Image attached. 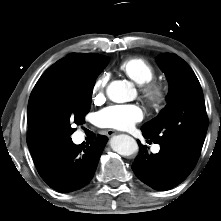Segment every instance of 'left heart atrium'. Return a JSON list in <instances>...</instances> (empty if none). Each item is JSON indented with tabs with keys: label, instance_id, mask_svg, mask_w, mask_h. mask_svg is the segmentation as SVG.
Returning a JSON list of instances; mask_svg holds the SVG:
<instances>
[{
	"label": "left heart atrium",
	"instance_id": "39dd6f15",
	"mask_svg": "<svg viewBox=\"0 0 221 221\" xmlns=\"http://www.w3.org/2000/svg\"><path fill=\"white\" fill-rule=\"evenodd\" d=\"M142 119L141 108L133 104L112 105L98 114L101 126L117 130H129Z\"/></svg>",
	"mask_w": 221,
	"mask_h": 221
}]
</instances>
